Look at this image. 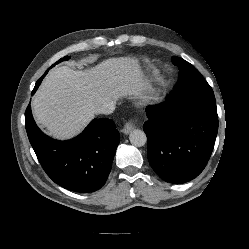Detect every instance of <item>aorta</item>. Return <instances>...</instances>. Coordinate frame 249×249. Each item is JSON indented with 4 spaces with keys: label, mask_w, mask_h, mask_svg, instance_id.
<instances>
[{
    "label": "aorta",
    "mask_w": 249,
    "mask_h": 249,
    "mask_svg": "<svg viewBox=\"0 0 249 249\" xmlns=\"http://www.w3.org/2000/svg\"><path fill=\"white\" fill-rule=\"evenodd\" d=\"M129 140L132 145L136 147H141L146 144L147 137L144 131L140 129H134L129 135Z\"/></svg>",
    "instance_id": "762f6f07"
}]
</instances>
